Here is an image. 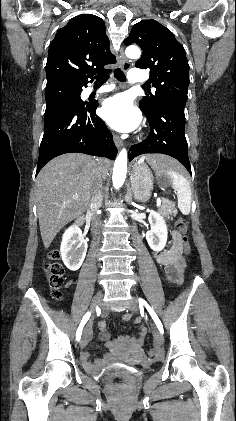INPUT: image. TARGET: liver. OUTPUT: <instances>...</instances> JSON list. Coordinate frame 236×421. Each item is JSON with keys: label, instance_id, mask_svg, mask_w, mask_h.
Segmentation results:
<instances>
[{"label": "liver", "instance_id": "obj_1", "mask_svg": "<svg viewBox=\"0 0 236 421\" xmlns=\"http://www.w3.org/2000/svg\"><path fill=\"white\" fill-rule=\"evenodd\" d=\"M149 164H172L171 156L165 154H145ZM94 168H100L102 176L111 170V160L67 152L55 156L40 170L36 178L37 213L40 233L45 249L50 247L57 233L88 208L95 188ZM72 194H78L73 200Z\"/></svg>", "mask_w": 236, "mask_h": 421}]
</instances>
